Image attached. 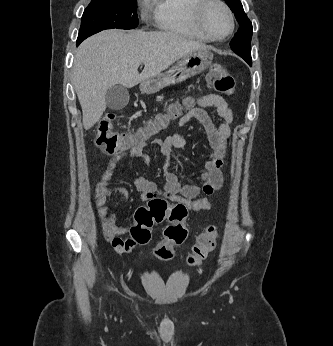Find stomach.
<instances>
[{
  "mask_svg": "<svg viewBox=\"0 0 333 346\" xmlns=\"http://www.w3.org/2000/svg\"><path fill=\"white\" fill-rule=\"evenodd\" d=\"M213 54L207 49H200L185 55L175 66L165 73L150 77L140 84L142 94H153L164 87L181 83L206 70L212 63Z\"/></svg>",
  "mask_w": 333,
  "mask_h": 346,
  "instance_id": "stomach-1",
  "label": "stomach"
}]
</instances>
